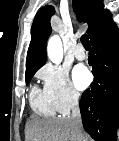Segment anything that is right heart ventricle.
<instances>
[{
  "label": "right heart ventricle",
  "mask_w": 119,
  "mask_h": 141,
  "mask_svg": "<svg viewBox=\"0 0 119 141\" xmlns=\"http://www.w3.org/2000/svg\"><path fill=\"white\" fill-rule=\"evenodd\" d=\"M30 104L34 112L45 117H53L56 109L43 90L34 86L30 92Z\"/></svg>",
  "instance_id": "e07e8e85"
}]
</instances>
